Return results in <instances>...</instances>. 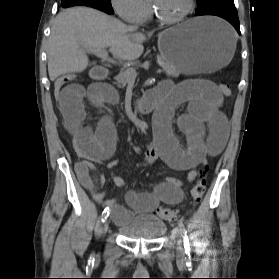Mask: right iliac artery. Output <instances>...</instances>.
Wrapping results in <instances>:
<instances>
[{"instance_id":"obj_1","label":"right iliac artery","mask_w":279,"mask_h":279,"mask_svg":"<svg viewBox=\"0 0 279 279\" xmlns=\"http://www.w3.org/2000/svg\"><path fill=\"white\" fill-rule=\"evenodd\" d=\"M109 214H110V210H109V208L107 207V208H105L104 211L102 212V222H104V221L108 218Z\"/></svg>"}]
</instances>
